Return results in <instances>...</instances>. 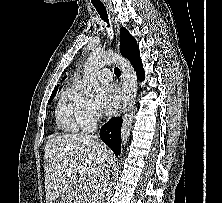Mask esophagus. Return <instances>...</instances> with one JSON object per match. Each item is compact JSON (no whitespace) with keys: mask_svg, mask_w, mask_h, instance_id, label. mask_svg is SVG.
<instances>
[{"mask_svg":"<svg viewBox=\"0 0 222 203\" xmlns=\"http://www.w3.org/2000/svg\"><path fill=\"white\" fill-rule=\"evenodd\" d=\"M108 11H109V14L112 18V21L114 23V27H115V30H116V33L119 34V23H118V20L115 16V14L112 12V10L107 7ZM123 76L121 75V92H122V98H121V102H120V105L118 107V110L116 112V116H120L123 112V109H124V98H123Z\"/></svg>","mask_w":222,"mask_h":203,"instance_id":"34e87169","label":"esophagus"}]
</instances>
